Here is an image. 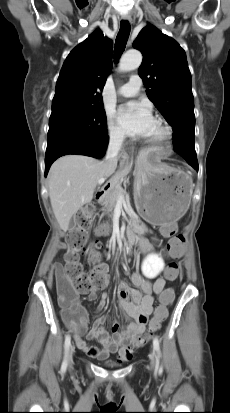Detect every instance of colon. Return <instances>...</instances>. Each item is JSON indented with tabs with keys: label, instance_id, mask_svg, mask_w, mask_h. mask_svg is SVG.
<instances>
[{
	"label": "colon",
	"instance_id": "obj_1",
	"mask_svg": "<svg viewBox=\"0 0 230 413\" xmlns=\"http://www.w3.org/2000/svg\"><path fill=\"white\" fill-rule=\"evenodd\" d=\"M95 216V207L91 204L85 205L77 216V227L67 236L66 243L68 251L65 255V263L56 265L54 268L56 277V289L60 303L65 310H76L74 304L78 293H85L92 288L101 287L104 283V269L98 254V244L88 243L87 230L91 226ZM188 246V241L184 236L178 234L173 236L168 243V250L173 259L182 254L183 247ZM85 251L87 265L91 267L90 272L84 270L80 262L82 251ZM179 274V264L172 260L163 270V275L167 276L170 281L177 279ZM173 290H165L160 296V304L157 306L155 313L149 324V334L156 332L161 323L167 317V307L173 301ZM144 340H139L128 344L124 349L126 359L132 356L136 346Z\"/></svg>",
	"mask_w": 230,
	"mask_h": 413
}]
</instances>
